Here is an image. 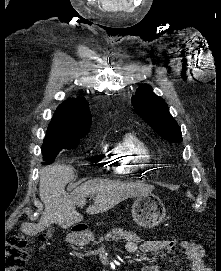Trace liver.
I'll list each match as a JSON object with an SVG mask.
<instances>
[{
  "instance_id": "obj_1",
  "label": "liver",
  "mask_w": 221,
  "mask_h": 271,
  "mask_svg": "<svg viewBox=\"0 0 221 271\" xmlns=\"http://www.w3.org/2000/svg\"><path fill=\"white\" fill-rule=\"evenodd\" d=\"M74 177L72 165L66 163H52L40 169L39 195L44 203V211L36 225L25 229L27 235H36L52 223H57L60 227H71L82 221L83 215L77 211L75 205H80L82 197L86 195H95L94 203L86 209V213L91 215L108 211L132 195H142V191L134 183L113 179H88L69 195L66 185Z\"/></svg>"
}]
</instances>
